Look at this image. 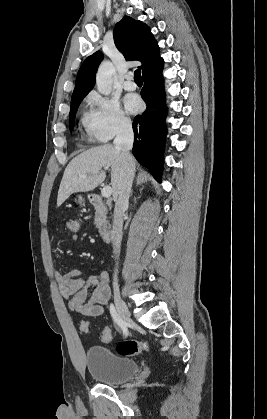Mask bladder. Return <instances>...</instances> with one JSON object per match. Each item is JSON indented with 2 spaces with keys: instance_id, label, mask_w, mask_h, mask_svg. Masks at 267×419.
Instances as JSON below:
<instances>
[{
  "instance_id": "1",
  "label": "bladder",
  "mask_w": 267,
  "mask_h": 419,
  "mask_svg": "<svg viewBox=\"0 0 267 419\" xmlns=\"http://www.w3.org/2000/svg\"><path fill=\"white\" fill-rule=\"evenodd\" d=\"M85 362L90 376L105 385L120 384L138 371V364L134 360L119 356L99 345L86 350Z\"/></svg>"
}]
</instances>
